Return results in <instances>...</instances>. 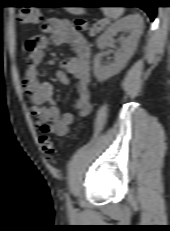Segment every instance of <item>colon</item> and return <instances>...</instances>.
<instances>
[{"instance_id":"colon-1","label":"colon","mask_w":170,"mask_h":231,"mask_svg":"<svg viewBox=\"0 0 170 231\" xmlns=\"http://www.w3.org/2000/svg\"><path fill=\"white\" fill-rule=\"evenodd\" d=\"M19 20L23 24H35L41 20V14L35 8L26 7L20 10ZM76 26L78 29L84 30L87 28L88 23L85 19L78 18L76 20ZM35 47L36 43L34 40L29 39L25 42V49L29 52L33 51ZM40 143L46 157L49 160H53L57 152L58 145L50 137L46 135L41 137Z\"/></svg>"}]
</instances>
